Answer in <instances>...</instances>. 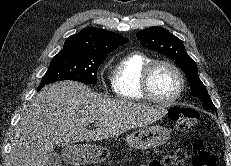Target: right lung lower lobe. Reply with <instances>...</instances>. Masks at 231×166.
<instances>
[{"label": "right lung lower lobe", "instance_id": "1", "mask_svg": "<svg viewBox=\"0 0 231 166\" xmlns=\"http://www.w3.org/2000/svg\"><path fill=\"white\" fill-rule=\"evenodd\" d=\"M43 86L44 84L39 85L38 90H40Z\"/></svg>", "mask_w": 231, "mask_h": 166}]
</instances>
